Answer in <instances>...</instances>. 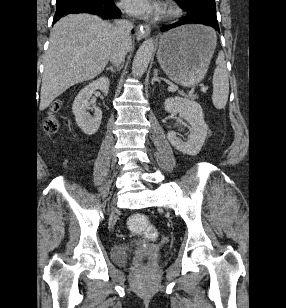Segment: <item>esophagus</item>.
I'll return each mask as SVG.
<instances>
[{"mask_svg": "<svg viewBox=\"0 0 286 308\" xmlns=\"http://www.w3.org/2000/svg\"><path fill=\"white\" fill-rule=\"evenodd\" d=\"M151 33V27L148 24H142L137 27L136 35L138 38H146Z\"/></svg>", "mask_w": 286, "mask_h": 308, "instance_id": "esophagus-1", "label": "esophagus"}]
</instances>
